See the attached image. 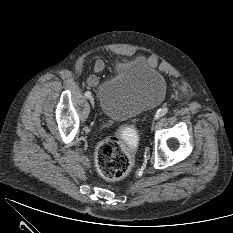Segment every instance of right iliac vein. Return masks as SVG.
Here are the masks:
<instances>
[{
	"mask_svg": "<svg viewBox=\"0 0 233 233\" xmlns=\"http://www.w3.org/2000/svg\"><path fill=\"white\" fill-rule=\"evenodd\" d=\"M89 100H90L91 105L94 106V104H95L94 98L92 96H90Z\"/></svg>",
	"mask_w": 233,
	"mask_h": 233,
	"instance_id": "right-iliac-vein-1",
	"label": "right iliac vein"
}]
</instances>
